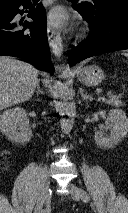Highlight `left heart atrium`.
Here are the masks:
<instances>
[{"mask_svg":"<svg viewBox=\"0 0 128 213\" xmlns=\"http://www.w3.org/2000/svg\"><path fill=\"white\" fill-rule=\"evenodd\" d=\"M66 22V14L61 8L53 9L48 15V24L52 27H62Z\"/></svg>","mask_w":128,"mask_h":213,"instance_id":"39dd6f15","label":"left heart atrium"}]
</instances>
